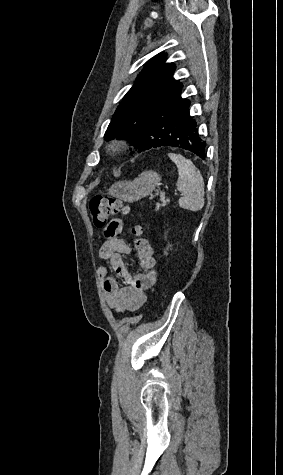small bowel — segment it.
Listing matches in <instances>:
<instances>
[{"label": "small bowel", "instance_id": "c3829d8e", "mask_svg": "<svg viewBox=\"0 0 283 475\" xmlns=\"http://www.w3.org/2000/svg\"><path fill=\"white\" fill-rule=\"evenodd\" d=\"M102 229L106 241L99 249V257L107 261L114 273L126 284L120 287L115 278L108 274L105 265L98 266L97 277L105 300L109 308L119 314L134 313L145 303L146 290L155 284L157 271L155 269L154 274H145L146 282L138 283L136 277L139 273L132 276L123 261L124 255L131 254V248L125 241L118 239L121 235V220H108Z\"/></svg>", "mask_w": 283, "mask_h": 475}]
</instances>
